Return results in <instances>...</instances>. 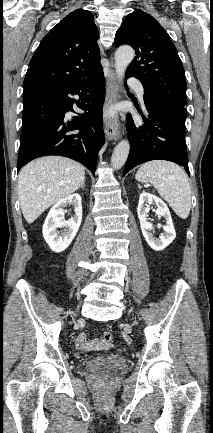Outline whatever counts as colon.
Instances as JSON below:
<instances>
[{"instance_id":"5ec220e1","label":"colon","mask_w":213,"mask_h":433,"mask_svg":"<svg viewBox=\"0 0 213 433\" xmlns=\"http://www.w3.org/2000/svg\"><path fill=\"white\" fill-rule=\"evenodd\" d=\"M113 338L114 337L111 332H105L102 337L103 341L107 344H111L113 342Z\"/></svg>"}]
</instances>
